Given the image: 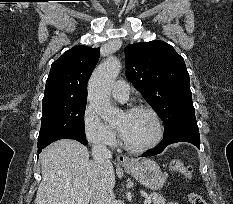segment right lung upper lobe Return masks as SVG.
Instances as JSON below:
<instances>
[{
	"label": "right lung upper lobe",
	"instance_id": "obj_1",
	"mask_svg": "<svg viewBox=\"0 0 233 204\" xmlns=\"http://www.w3.org/2000/svg\"><path fill=\"white\" fill-rule=\"evenodd\" d=\"M99 55L100 48L75 46L54 61L42 103L86 99L87 82Z\"/></svg>",
	"mask_w": 233,
	"mask_h": 204
}]
</instances>
